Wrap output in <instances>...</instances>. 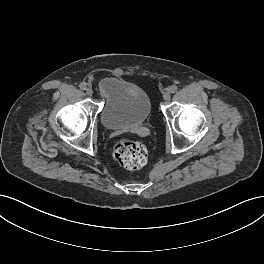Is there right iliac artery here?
Instances as JSON below:
<instances>
[{
    "instance_id": "1",
    "label": "right iliac artery",
    "mask_w": 264,
    "mask_h": 264,
    "mask_svg": "<svg viewBox=\"0 0 264 264\" xmlns=\"http://www.w3.org/2000/svg\"><path fill=\"white\" fill-rule=\"evenodd\" d=\"M79 87H80V89L81 90H86V84L85 83H81L80 85H79Z\"/></svg>"
}]
</instances>
